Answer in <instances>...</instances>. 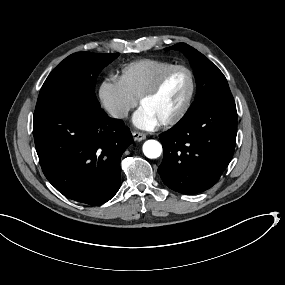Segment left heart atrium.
Instances as JSON below:
<instances>
[{"label":"left heart atrium","mask_w":285,"mask_h":285,"mask_svg":"<svg viewBox=\"0 0 285 285\" xmlns=\"http://www.w3.org/2000/svg\"><path fill=\"white\" fill-rule=\"evenodd\" d=\"M132 122L139 128L151 129L159 125L160 119L149 111L144 105H141L134 113Z\"/></svg>","instance_id":"left-heart-atrium-1"}]
</instances>
